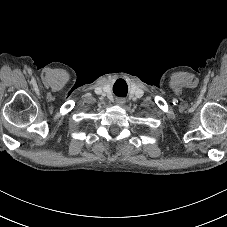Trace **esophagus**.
Here are the masks:
<instances>
[{
	"instance_id": "1",
	"label": "esophagus",
	"mask_w": 227,
	"mask_h": 227,
	"mask_svg": "<svg viewBox=\"0 0 227 227\" xmlns=\"http://www.w3.org/2000/svg\"><path fill=\"white\" fill-rule=\"evenodd\" d=\"M116 103H117L118 105H123V104L125 103V100H124L123 98H117V99H116Z\"/></svg>"
}]
</instances>
